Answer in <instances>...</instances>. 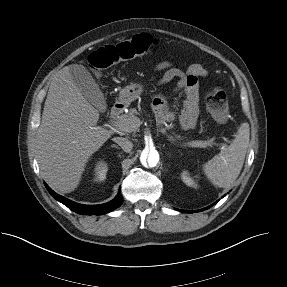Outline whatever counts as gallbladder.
<instances>
[{"mask_svg":"<svg viewBox=\"0 0 287 287\" xmlns=\"http://www.w3.org/2000/svg\"><path fill=\"white\" fill-rule=\"evenodd\" d=\"M73 83L79 88L83 96L98 110L106 109V100L100 86L92 77L91 73L81 64L69 66Z\"/></svg>","mask_w":287,"mask_h":287,"instance_id":"1","label":"gallbladder"}]
</instances>
